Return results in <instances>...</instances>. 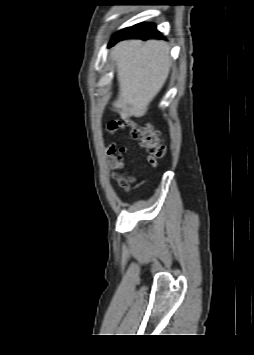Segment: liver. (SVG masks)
<instances>
[{"label": "liver", "mask_w": 254, "mask_h": 355, "mask_svg": "<svg viewBox=\"0 0 254 355\" xmlns=\"http://www.w3.org/2000/svg\"><path fill=\"white\" fill-rule=\"evenodd\" d=\"M169 50L167 43L157 40H125L112 48L110 57L116 63L119 83L114 105L122 118L146 114L168 78Z\"/></svg>", "instance_id": "liver-1"}]
</instances>
